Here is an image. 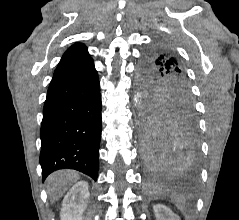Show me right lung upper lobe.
I'll return each instance as SVG.
<instances>
[{
    "label": "right lung upper lobe",
    "mask_w": 239,
    "mask_h": 220,
    "mask_svg": "<svg viewBox=\"0 0 239 220\" xmlns=\"http://www.w3.org/2000/svg\"><path fill=\"white\" fill-rule=\"evenodd\" d=\"M89 60L90 57L85 45L76 43L72 45L63 55L61 61L59 62L54 75L65 72L71 68L81 65Z\"/></svg>",
    "instance_id": "1"
}]
</instances>
